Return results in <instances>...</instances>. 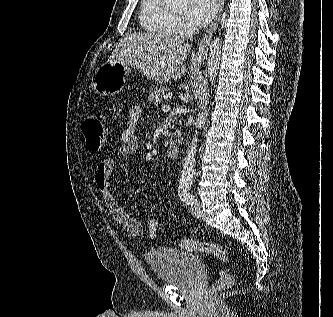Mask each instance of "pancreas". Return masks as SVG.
<instances>
[{"mask_svg":"<svg viewBox=\"0 0 333 317\" xmlns=\"http://www.w3.org/2000/svg\"><path fill=\"white\" fill-rule=\"evenodd\" d=\"M169 93L168 87H155L149 94L148 100L149 102L158 104L165 100V97Z\"/></svg>","mask_w":333,"mask_h":317,"instance_id":"cf45deb5","label":"pancreas"}]
</instances>
